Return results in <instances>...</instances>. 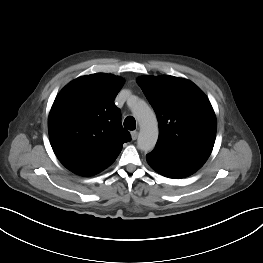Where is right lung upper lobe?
<instances>
[{"instance_id":"obj_1","label":"right lung upper lobe","mask_w":263,"mask_h":263,"mask_svg":"<svg viewBox=\"0 0 263 263\" xmlns=\"http://www.w3.org/2000/svg\"><path fill=\"white\" fill-rule=\"evenodd\" d=\"M123 79L96 73L70 82L56 97L48 120L50 142L60 162L81 176L109 167L131 140L114 99Z\"/></svg>"}]
</instances>
